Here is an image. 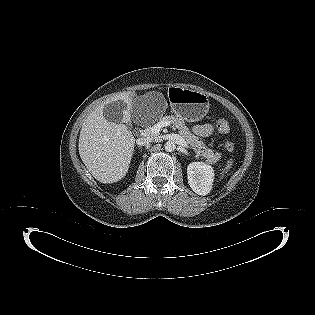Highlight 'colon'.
<instances>
[{
    "instance_id": "colon-1",
    "label": "colon",
    "mask_w": 315,
    "mask_h": 315,
    "mask_svg": "<svg viewBox=\"0 0 315 315\" xmlns=\"http://www.w3.org/2000/svg\"><path fill=\"white\" fill-rule=\"evenodd\" d=\"M217 129L221 133H227L230 130L229 122L225 119H221L217 122ZM225 149L229 152H232L235 150V145L232 142H227L225 144Z\"/></svg>"
}]
</instances>
